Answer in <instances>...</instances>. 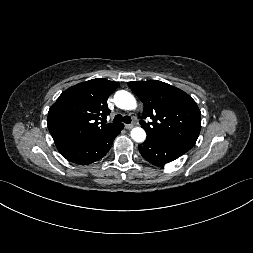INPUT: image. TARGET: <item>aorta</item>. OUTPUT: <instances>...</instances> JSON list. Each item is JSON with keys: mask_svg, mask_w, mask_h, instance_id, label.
Listing matches in <instances>:
<instances>
[{"mask_svg": "<svg viewBox=\"0 0 253 253\" xmlns=\"http://www.w3.org/2000/svg\"><path fill=\"white\" fill-rule=\"evenodd\" d=\"M114 102L118 108L124 110H131L136 107L134 96L125 90L115 93ZM131 138L136 142H143L146 139V132L140 127L133 128L131 130Z\"/></svg>", "mask_w": 253, "mask_h": 253, "instance_id": "762f6f07", "label": "aorta"}]
</instances>
